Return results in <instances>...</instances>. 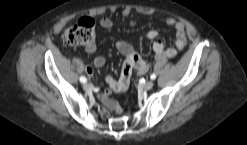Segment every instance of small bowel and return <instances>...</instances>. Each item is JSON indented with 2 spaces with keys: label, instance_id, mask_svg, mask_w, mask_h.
Returning a JSON list of instances; mask_svg holds the SVG:
<instances>
[{
  "label": "small bowel",
  "instance_id": "1",
  "mask_svg": "<svg viewBox=\"0 0 247 145\" xmlns=\"http://www.w3.org/2000/svg\"><path fill=\"white\" fill-rule=\"evenodd\" d=\"M124 14H127L125 11ZM166 24L173 27L175 29V40L174 44L175 47L172 48H165L164 43L161 39L158 37V33L155 30H150L146 34V38L153 41V52H154V59L156 61H162L166 58H172L174 57L178 51H181L186 46V32H185V25L181 21H177L173 18H167L165 20ZM99 24L104 29H110L113 27V21L108 17H103L100 19ZM116 48L118 51L125 57L124 63H127L132 60L134 56H137L138 58V64L131 65L130 74L132 75L133 69H136L140 74H144L148 71L150 67V63L143 58H141L139 55L136 54L133 46L126 42V41H119L116 43ZM96 50V44L92 43L88 46H86V51L89 53H92ZM106 62V59L102 55H98L93 59V65H86L85 71L88 75H93L94 68H101L104 66ZM131 76L124 80L122 77V74L118 79L115 77L108 75L106 77V83L108 87L105 89L103 93L99 95L100 100L105 105L107 110L114 113L115 115H121L123 113V108L120 106V104L111 99L110 95L113 92H123L127 90L129 83H130Z\"/></svg>",
  "mask_w": 247,
  "mask_h": 145
}]
</instances>
